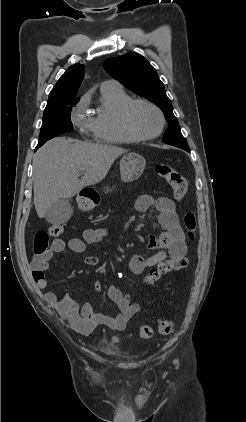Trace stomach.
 Masks as SVG:
<instances>
[{"instance_id":"stomach-1","label":"stomach","mask_w":246,"mask_h":422,"mask_svg":"<svg viewBox=\"0 0 246 422\" xmlns=\"http://www.w3.org/2000/svg\"><path fill=\"white\" fill-rule=\"evenodd\" d=\"M146 161L138 153H129L122 157L120 161V175L123 182H132L137 180L143 173ZM79 205L82 209L90 210L95 206L91 198L80 197Z\"/></svg>"}]
</instances>
